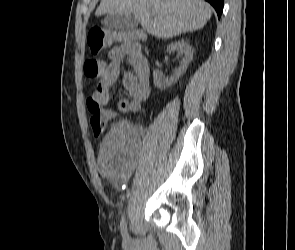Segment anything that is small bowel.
Listing matches in <instances>:
<instances>
[{"label":"small bowel","instance_id":"c3829d8e","mask_svg":"<svg viewBox=\"0 0 295 250\" xmlns=\"http://www.w3.org/2000/svg\"><path fill=\"white\" fill-rule=\"evenodd\" d=\"M109 62L104 63L91 98L101 107L110 100V89L121 73V62L126 60L131 68L123 75V85L129 97L120 99L118 108L123 112H136L150 92L148 62L141 52L131 50L125 44L111 49ZM137 148V134L127 123L116 124L104 138L99 151L101 173L116 188H120L130 177Z\"/></svg>","mask_w":295,"mask_h":250}]
</instances>
